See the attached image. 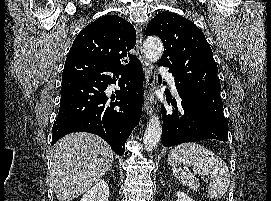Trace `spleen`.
<instances>
[{
  "label": "spleen",
  "instance_id": "spleen-1",
  "mask_svg": "<svg viewBox=\"0 0 271 201\" xmlns=\"http://www.w3.org/2000/svg\"><path fill=\"white\" fill-rule=\"evenodd\" d=\"M168 162L172 166L174 176L179 182L190 188L198 185L196 175H206L209 178L208 197L221 198L230 184L229 169L225 162L204 146L187 142L170 151ZM191 166L193 173L177 168V165Z\"/></svg>",
  "mask_w": 271,
  "mask_h": 201
}]
</instances>
